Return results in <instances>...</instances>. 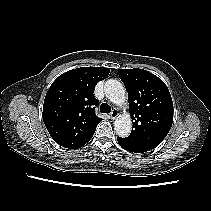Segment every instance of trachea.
<instances>
[{"label":"trachea","mask_w":211,"mask_h":211,"mask_svg":"<svg viewBox=\"0 0 211 211\" xmlns=\"http://www.w3.org/2000/svg\"><path fill=\"white\" fill-rule=\"evenodd\" d=\"M100 111L101 113H110L111 112V107L107 103H102L100 106Z\"/></svg>","instance_id":"obj_1"}]
</instances>
